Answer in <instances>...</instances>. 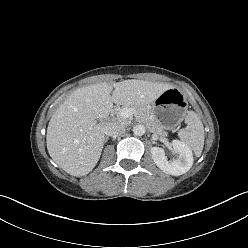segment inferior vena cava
I'll return each mask as SVG.
<instances>
[{"mask_svg": "<svg viewBox=\"0 0 248 248\" xmlns=\"http://www.w3.org/2000/svg\"><path fill=\"white\" fill-rule=\"evenodd\" d=\"M125 132V126L119 122H111L104 128L107 136L121 135Z\"/></svg>", "mask_w": 248, "mask_h": 248, "instance_id": "obj_1", "label": "inferior vena cava"}]
</instances>
